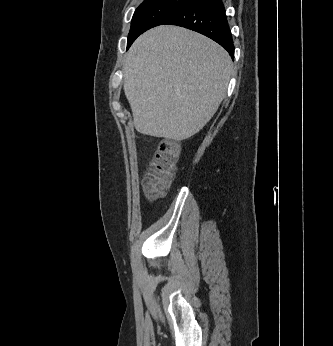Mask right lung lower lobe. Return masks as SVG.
<instances>
[{
	"instance_id": "98d812e1",
	"label": "right lung lower lobe",
	"mask_w": 333,
	"mask_h": 346,
	"mask_svg": "<svg viewBox=\"0 0 333 346\" xmlns=\"http://www.w3.org/2000/svg\"><path fill=\"white\" fill-rule=\"evenodd\" d=\"M163 24L199 32L219 43L234 58L232 34L222 0H186Z\"/></svg>"
}]
</instances>
